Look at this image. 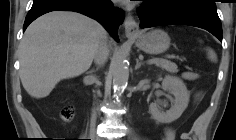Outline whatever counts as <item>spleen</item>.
<instances>
[{
  "instance_id": "spleen-1",
  "label": "spleen",
  "mask_w": 236,
  "mask_h": 140,
  "mask_svg": "<svg viewBox=\"0 0 236 140\" xmlns=\"http://www.w3.org/2000/svg\"><path fill=\"white\" fill-rule=\"evenodd\" d=\"M208 54H209V57H210L213 61L216 60V55H215L214 51H212V50L209 49Z\"/></svg>"
}]
</instances>
